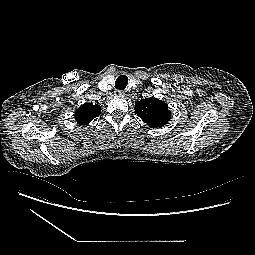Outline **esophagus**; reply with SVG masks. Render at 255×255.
Masks as SVG:
<instances>
[{"instance_id": "obj_1", "label": "esophagus", "mask_w": 255, "mask_h": 255, "mask_svg": "<svg viewBox=\"0 0 255 255\" xmlns=\"http://www.w3.org/2000/svg\"><path fill=\"white\" fill-rule=\"evenodd\" d=\"M124 91L123 90H116L115 91V95H117V96H120V97H122V96H124Z\"/></svg>"}]
</instances>
